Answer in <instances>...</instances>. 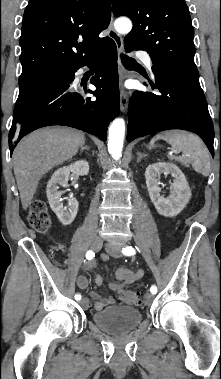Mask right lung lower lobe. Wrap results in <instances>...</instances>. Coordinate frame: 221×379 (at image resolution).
I'll list each match as a JSON object with an SVG mask.
<instances>
[{
	"instance_id": "98d812e1",
	"label": "right lung lower lobe",
	"mask_w": 221,
	"mask_h": 379,
	"mask_svg": "<svg viewBox=\"0 0 221 379\" xmlns=\"http://www.w3.org/2000/svg\"><path fill=\"white\" fill-rule=\"evenodd\" d=\"M95 66L92 91L71 86L82 66ZM86 94H93L92 99ZM119 114L116 45L109 39L93 57L71 67H57L29 85L25 99L17 103L9 132L10 153L28 133L50 125L74 127L106 140L107 127Z\"/></svg>"
}]
</instances>
